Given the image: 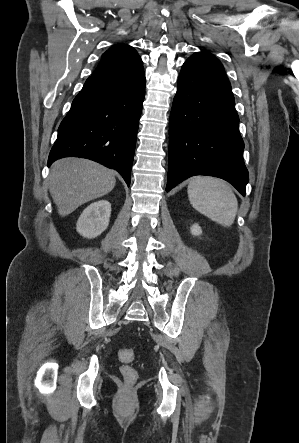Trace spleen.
Returning a JSON list of instances; mask_svg holds the SVG:
<instances>
[{"instance_id": "3e777b00", "label": "spleen", "mask_w": 299, "mask_h": 443, "mask_svg": "<svg viewBox=\"0 0 299 443\" xmlns=\"http://www.w3.org/2000/svg\"><path fill=\"white\" fill-rule=\"evenodd\" d=\"M192 206L211 220L229 227L233 224L238 203L231 188L224 181L209 178H193L188 185Z\"/></svg>"}]
</instances>
